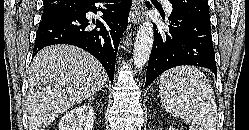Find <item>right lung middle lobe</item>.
Returning <instances> with one entry per match:
<instances>
[{
  "instance_id": "obj_1",
  "label": "right lung middle lobe",
  "mask_w": 249,
  "mask_h": 130,
  "mask_svg": "<svg viewBox=\"0 0 249 130\" xmlns=\"http://www.w3.org/2000/svg\"><path fill=\"white\" fill-rule=\"evenodd\" d=\"M69 13L70 12H43V14H42V20H48V19L58 18L60 16L67 15Z\"/></svg>"
}]
</instances>
